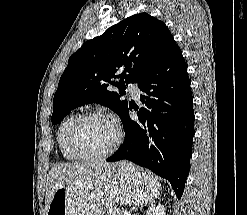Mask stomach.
I'll return each instance as SVG.
<instances>
[{"instance_id": "0dacf381", "label": "stomach", "mask_w": 247, "mask_h": 215, "mask_svg": "<svg viewBox=\"0 0 247 215\" xmlns=\"http://www.w3.org/2000/svg\"><path fill=\"white\" fill-rule=\"evenodd\" d=\"M159 182L146 170L128 162L113 164L83 189H57L46 215H102L115 204L139 205L160 194Z\"/></svg>"}]
</instances>
